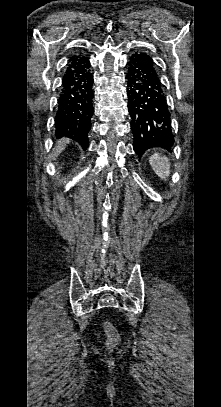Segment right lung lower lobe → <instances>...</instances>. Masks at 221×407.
<instances>
[{
	"label": "right lung lower lobe",
	"instance_id": "right-lung-lower-lobe-1",
	"mask_svg": "<svg viewBox=\"0 0 221 407\" xmlns=\"http://www.w3.org/2000/svg\"><path fill=\"white\" fill-rule=\"evenodd\" d=\"M92 85L88 59L82 55L71 57L62 78L55 134L58 138L65 136L77 141L84 149L89 146L88 133L94 112Z\"/></svg>",
	"mask_w": 221,
	"mask_h": 407
}]
</instances>
